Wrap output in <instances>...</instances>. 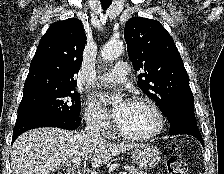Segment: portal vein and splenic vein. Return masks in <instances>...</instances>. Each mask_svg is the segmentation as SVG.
<instances>
[{"mask_svg": "<svg viewBox=\"0 0 224 174\" xmlns=\"http://www.w3.org/2000/svg\"><path fill=\"white\" fill-rule=\"evenodd\" d=\"M82 158H75L74 160H73V162H74V164L76 165V166H79L80 164H81V162H82ZM119 174H127L126 172H120Z\"/></svg>", "mask_w": 224, "mask_h": 174, "instance_id": "1", "label": "portal vein and splenic vein"}]
</instances>
